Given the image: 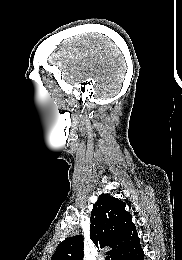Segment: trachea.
Segmentation results:
<instances>
[{"mask_svg": "<svg viewBox=\"0 0 182 260\" xmlns=\"http://www.w3.org/2000/svg\"><path fill=\"white\" fill-rule=\"evenodd\" d=\"M105 260H110V256H106Z\"/></svg>", "mask_w": 182, "mask_h": 260, "instance_id": "3493384b", "label": "trachea"}]
</instances>
